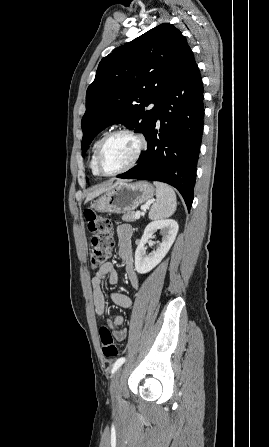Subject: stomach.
Returning <instances> with one entry per match:
<instances>
[{
	"mask_svg": "<svg viewBox=\"0 0 269 447\" xmlns=\"http://www.w3.org/2000/svg\"><path fill=\"white\" fill-rule=\"evenodd\" d=\"M154 188L149 182L136 184H119L106 192L104 196L94 200L93 210L109 212V214H125L135 210L139 204H144L153 198Z\"/></svg>",
	"mask_w": 269,
	"mask_h": 447,
	"instance_id": "stomach-1",
	"label": "stomach"
}]
</instances>
